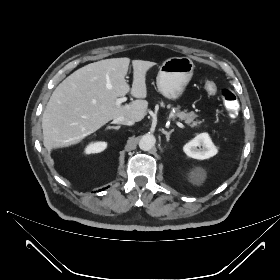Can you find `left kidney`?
Returning a JSON list of instances; mask_svg holds the SVG:
<instances>
[{"instance_id":"5707ae66","label":"left kidney","mask_w":280,"mask_h":280,"mask_svg":"<svg viewBox=\"0 0 280 280\" xmlns=\"http://www.w3.org/2000/svg\"><path fill=\"white\" fill-rule=\"evenodd\" d=\"M183 150L187 156L198 160L208 159L217 154V148L207 133L197 135L184 145ZM194 177V179L199 180L202 178V173L199 171Z\"/></svg>"}]
</instances>
